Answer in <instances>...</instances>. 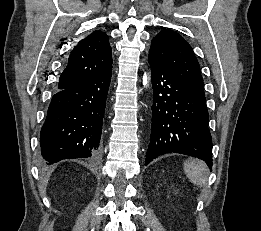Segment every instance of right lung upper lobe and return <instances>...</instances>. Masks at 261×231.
Listing matches in <instances>:
<instances>
[{"mask_svg": "<svg viewBox=\"0 0 261 231\" xmlns=\"http://www.w3.org/2000/svg\"><path fill=\"white\" fill-rule=\"evenodd\" d=\"M112 49L105 32L94 31L79 41L70 53L59 78L58 89H65L91 79L112 67Z\"/></svg>", "mask_w": 261, "mask_h": 231, "instance_id": "right-lung-upper-lobe-1", "label": "right lung upper lobe"}]
</instances>
